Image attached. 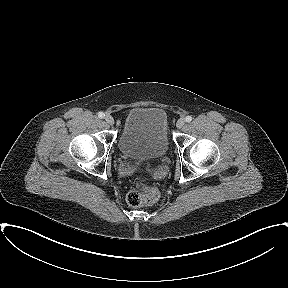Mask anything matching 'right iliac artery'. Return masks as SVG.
<instances>
[{"label":"right iliac artery","mask_w":288,"mask_h":288,"mask_svg":"<svg viewBox=\"0 0 288 288\" xmlns=\"http://www.w3.org/2000/svg\"><path fill=\"white\" fill-rule=\"evenodd\" d=\"M98 117L102 119V118L105 117V114H104L103 112H99V113H98Z\"/></svg>","instance_id":"82829eb1"}]
</instances>
